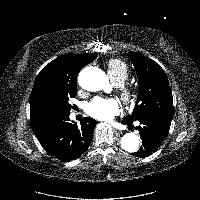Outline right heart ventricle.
<instances>
[{
	"label": "right heart ventricle",
	"mask_w": 200,
	"mask_h": 200,
	"mask_svg": "<svg viewBox=\"0 0 200 200\" xmlns=\"http://www.w3.org/2000/svg\"><path fill=\"white\" fill-rule=\"evenodd\" d=\"M107 69L111 80L116 85L123 84L130 74L128 64L119 58L110 59L107 62Z\"/></svg>",
	"instance_id": "1"
}]
</instances>
